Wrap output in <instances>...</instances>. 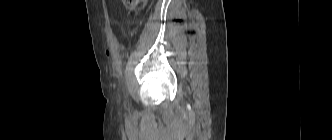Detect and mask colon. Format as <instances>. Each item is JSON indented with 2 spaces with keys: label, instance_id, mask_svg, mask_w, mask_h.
Segmentation results:
<instances>
[{
  "label": "colon",
  "instance_id": "5ec220e1",
  "mask_svg": "<svg viewBox=\"0 0 332 140\" xmlns=\"http://www.w3.org/2000/svg\"><path fill=\"white\" fill-rule=\"evenodd\" d=\"M142 0H123L124 4L129 8L136 7Z\"/></svg>",
  "mask_w": 332,
  "mask_h": 140
}]
</instances>
